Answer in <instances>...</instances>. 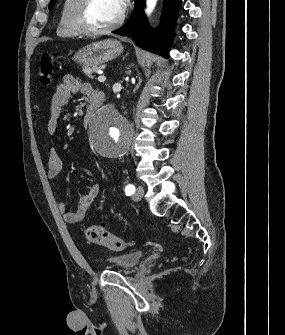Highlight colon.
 I'll return each instance as SVG.
<instances>
[{
  "label": "colon",
  "instance_id": "1",
  "mask_svg": "<svg viewBox=\"0 0 285 335\" xmlns=\"http://www.w3.org/2000/svg\"><path fill=\"white\" fill-rule=\"evenodd\" d=\"M56 55L52 53H43L40 58L38 77L43 87L51 84L54 72ZM86 239L97 245L104 246L113 251H123L130 246V243L115 236L102 226L88 225L84 229Z\"/></svg>",
  "mask_w": 285,
  "mask_h": 335
}]
</instances>
